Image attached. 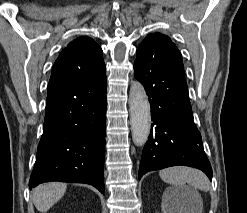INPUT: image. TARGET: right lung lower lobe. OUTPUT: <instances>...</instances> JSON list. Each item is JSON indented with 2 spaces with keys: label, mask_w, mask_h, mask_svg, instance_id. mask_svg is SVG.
Here are the masks:
<instances>
[{
  "label": "right lung lower lobe",
  "mask_w": 247,
  "mask_h": 213,
  "mask_svg": "<svg viewBox=\"0 0 247 213\" xmlns=\"http://www.w3.org/2000/svg\"><path fill=\"white\" fill-rule=\"evenodd\" d=\"M105 71L48 90L43 135L29 187L87 183L104 193Z\"/></svg>",
  "instance_id": "98d812e1"
}]
</instances>
